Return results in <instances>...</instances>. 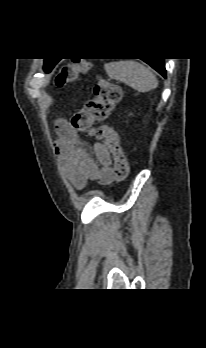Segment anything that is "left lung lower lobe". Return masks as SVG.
<instances>
[{
    "mask_svg": "<svg viewBox=\"0 0 206 348\" xmlns=\"http://www.w3.org/2000/svg\"><path fill=\"white\" fill-rule=\"evenodd\" d=\"M143 61L148 63L151 67H153L156 71H158L163 77H166L164 59L151 58V59L143 60Z\"/></svg>",
    "mask_w": 206,
    "mask_h": 348,
    "instance_id": "left-lung-lower-lobe-1",
    "label": "left lung lower lobe"
}]
</instances>
